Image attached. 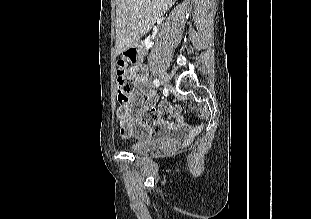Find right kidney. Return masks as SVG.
Returning <instances> with one entry per match:
<instances>
[{
	"label": "right kidney",
	"instance_id": "1",
	"mask_svg": "<svg viewBox=\"0 0 311 219\" xmlns=\"http://www.w3.org/2000/svg\"><path fill=\"white\" fill-rule=\"evenodd\" d=\"M144 45L146 50L150 49L152 47V41L150 37H147L144 41Z\"/></svg>",
	"mask_w": 311,
	"mask_h": 219
}]
</instances>
